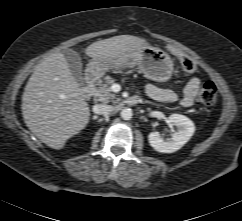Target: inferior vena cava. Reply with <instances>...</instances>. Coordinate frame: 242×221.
<instances>
[{
  "label": "inferior vena cava",
  "instance_id": "602c4592",
  "mask_svg": "<svg viewBox=\"0 0 242 221\" xmlns=\"http://www.w3.org/2000/svg\"><path fill=\"white\" fill-rule=\"evenodd\" d=\"M114 110H115V108L112 105L98 104L95 106V113H97V114L109 115Z\"/></svg>",
  "mask_w": 242,
  "mask_h": 221
}]
</instances>
